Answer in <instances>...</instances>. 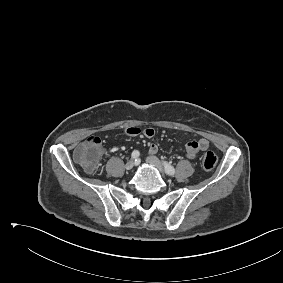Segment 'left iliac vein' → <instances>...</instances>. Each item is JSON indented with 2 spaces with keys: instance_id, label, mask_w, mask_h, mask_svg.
Returning <instances> with one entry per match:
<instances>
[{
  "instance_id": "1",
  "label": "left iliac vein",
  "mask_w": 283,
  "mask_h": 283,
  "mask_svg": "<svg viewBox=\"0 0 283 283\" xmlns=\"http://www.w3.org/2000/svg\"><path fill=\"white\" fill-rule=\"evenodd\" d=\"M146 161L149 164L155 166L160 171V173L164 175L163 166H162V164H161V162L159 161L158 158H156L155 156H149V157H147Z\"/></svg>"
}]
</instances>
